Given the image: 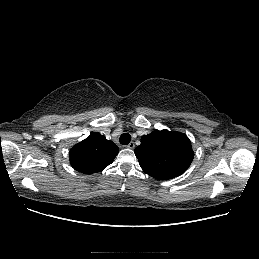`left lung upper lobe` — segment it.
Wrapping results in <instances>:
<instances>
[{
	"label": "left lung upper lobe",
	"instance_id": "left-lung-upper-lobe-1",
	"mask_svg": "<svg viewBox=\"0 0 259 259\" xmlns=\"http://www.w3.org/2000/svg\"><path fill=\"white\" fill-rule=\"evenodd\" d=\"M135 155L145 173L159 180H168L188 169L194 152L186 135L155 130L141 138Z\"/></svg>",
	"mask_w": 259,
	"mask_h": 259
}]
</instances>
